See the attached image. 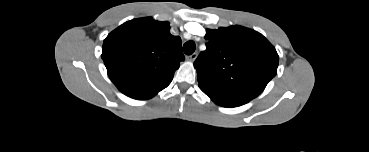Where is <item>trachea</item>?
Segmentation results:
<instances>
[{"label":"trachea","mask_w":369,"mask_h":152,"mask_svg":"<svg viewBox=\"0 0 369 152\" xmlns=\"http://www.w3.org/2000/svg\"><path fill=\"white\" fill-rule=\"evenodd\" d=\"M196 48L194 41H188L183 45V51L186 55H191L194 53Z\"/></svg>","instance_id":"1"}]
</instances>
